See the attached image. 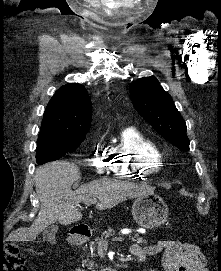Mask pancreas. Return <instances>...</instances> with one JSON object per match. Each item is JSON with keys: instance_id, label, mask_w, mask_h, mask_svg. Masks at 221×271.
<instances>
[{"instance_id": "pancreas-1", "label": "pancreas", "mask_w": 221, "mask_h": 271, "mask_svg": "<svg viewBox=\"0 0 221 271\" xmlns=\"http://www.w3.org/2000/svg\"><path fill=\"white\" fill-rule=\"evenodd\" d=\"M110 235H115V229H107V231H103L102 237H96L95 240L87 241L88 245H93L91 255H94L93 251L99 242H109ZM113 241H115V239H113ZM132 242H135V244H149V241H144L143 237H132ZM82 257H84V255H82ZM82 263L88 265L90 269H97L98 267V263H95V261H89V259H82Z\"/></svg>"}]
</instances>
